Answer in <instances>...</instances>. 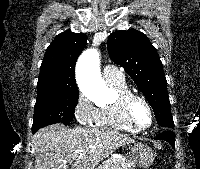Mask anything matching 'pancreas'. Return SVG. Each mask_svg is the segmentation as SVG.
Wrapping results in <instances>:
<instances>
[{
  "instance_id": "cf45deb5",
  "label": "pancreas",
  "mask_w": 200,
  "mask_h": 169,
  "mask_svg": "<svg viewBox=\"0 0 200 169\" xmlns=\"http://www.w3.org/2000/svg\"><path fill=\"white\" fill-rule=\"evenodd\" d=\"M134 163L127 159L109 158L96 169H133Z\"/></svg>"
}]
</instances>
